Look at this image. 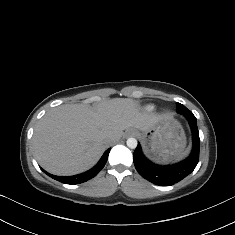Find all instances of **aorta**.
<instances>
[{
    "label": "aorta",
    "mask_w": 235,
    "mask_h": 235,
    "mask_svg": "<svg viewBox=\"0 0 235 235\" xmlns=\"http://www.w3.org/2000/svg\"><path fill=\"white\" fill-rule=\"evenodd\" d=\"M127 147L130 149H135L138 145V142L135 138H129L127 139Z\"/></svg>",
    "instance_id": "762f6f07"
}]
</instances>
